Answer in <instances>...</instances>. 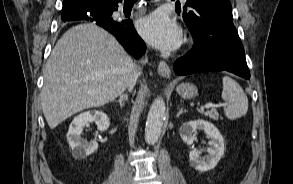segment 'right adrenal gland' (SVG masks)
Segmentation results:
<instances>
[{"label": "right adrenal gland", "mask_w": 293, "mask_h": 184, "mask_svg": "<svg viewBox=\"0 0 293 184\" xmlns=\"http://www.w3.org/2000/svg\"><path fill=\"white\" fill-rule=\"evenodd\" d=\"M126 101H128V95L127 94H121L120 97H119V100H117L116 102H118L120 107L122 108Z\"/></svg>", "instance_id": "right-adrenal-gland-1"}]
</instances>
